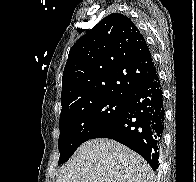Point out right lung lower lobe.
Masks as SVG:
<instances>
[{
    "mask_svg": "<svg viewBox=\"0 0 196 182\" xmlns=\"http://www.w3.org/2000/svg\"><path fill=\"white\" fill-rule=\"evenodd\" d=\"M164 121L163 93L154 68L129 95L123 111L90 139L116 140L140 154L156 171L159 167Z\"/></svg>",
    "mask_w": 196,
    "mask_h": 182,
    "instance_id": "right-lung-lower-lobe-1",
    "label": "right lung lower lobe"
}]
</instances>
